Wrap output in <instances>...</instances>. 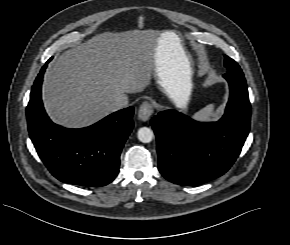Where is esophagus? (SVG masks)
Returning a JSON list of instances; mask_svg holds the SVG:
<instances>
[{"mask_svg":"<svg viewBox=\"0 0 290 245\" xmlns=\"http://www.w3.org/2000/svg\"><path fill=\"white\" fill-rule=\"evenodd\" d=\"M153 114V107L150 102H143L138 110V118L142 121H147Z\"/></svg>","mask_w":290,"mask_h":245,"instance_id":"esophagus-1","label":"esophagus"}]
</instances>
